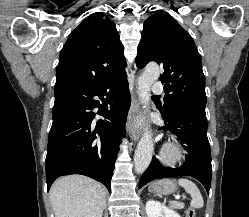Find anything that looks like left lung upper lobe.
<instances>
[{
	"label": "left lung upper lobe",
	"mask_w": 249,
	"mask_h": 217,
	"mask_svg": "<svg viewBox=\"0 0 249 217\" xmlns=\"http://www.w3.org/2000/svg\"><path fill=\"white\" fill-rule=\"evenodd\" d=\"M155 61L164 69L159 80L164 84L163 115L178 105L205 109V76L196 45L173 17L158 12L144 22L136 65L143 68Z\"/></svg>",
	"instance_id": "5c2ea615"
}]
</instances>
